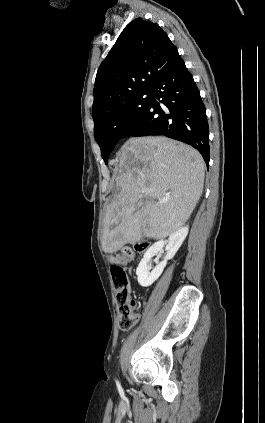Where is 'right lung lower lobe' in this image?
<instances>
[{
    "label": "right lung lower lobe",
    "instance_id": "98d812e1",
    "mask_svg": "<svg viewBox=\"0 0 265 423\" xmlns=\"http://www.w3.org/2000/svg\"><path fill=\"white\" fill-rule=\"evenodd\" d=\"M151 102L143 114L123 134L164 135L196 148L209 165V127L200 92L177 54L155 79ZM157 99H162L157 102Z\"/></svg>",
    "mask_w": 265,
    "mask_h": 423
}]
</instances>
